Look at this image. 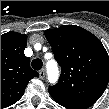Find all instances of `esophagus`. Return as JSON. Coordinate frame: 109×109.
Listing matches in <instances>:
<instances>
[{"label": "esophagus", "instance_id": "1", "mask_svg": "<svg viewBox=\"0 0 109 109\" xmlns=\"http://www.w3.org/2000/svg\"><path fill=\"white\" fill-rule=\"evenodd\" d=\"M39 77H40L41 79H43V78L45 77V69H41V70L39 71Z\"/></svg>", "mask_w": 109, "mask_h": 109}]
</instances>
